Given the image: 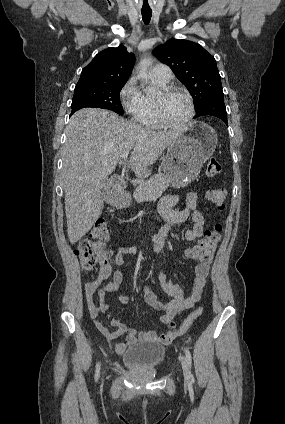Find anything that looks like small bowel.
<instances>
[{
  "mask_svg": "<svg viewBox=\"0 0 285 424\" xmlns=\"http://www.w3.org/2000/svg\"><path fill=\"white\" fill-rule=\"evenodd\" d=\"M199 196L196 192H191L186 198V205L181 210H175L174 206L178 203L179 198L177 195L165 196L159 205L161 215L168 221V225L162 232L149 240L154 253H159L161 249L168 243V234L175 225H179L188 219L191 220L192 225L184 233V238L187 241H196L204 236V217L203 214L197 210V203ZM190 248L186 251V255L192 257ZM137 252L134 246H122L118 249L114 257L115 264L120 267L124 263V256L133 255ZM194 259V258H193ZM197 260V259H196ZM110 267L101 266L98 276L87 282L84 287L85 300L88 308L89 315L94 321L96 328L103 335L108 345L118 354L123 355L128 346L136 344L137 342H157L160 344L168 345L177 336L181 335L174 317L181 313L183 310L194 306L201 298L203 289L210 270V260H198L195 267V277L192 284V289L189 295L185 296L181 287L168 279L165 273L160 272L159 281L161 287L168 298L167 303L161 302L156 294L146 286L144 288L145 302L155 310L163 311L161 322L167 326V330L158 334L155 330H147L137 332L134 328L129 327L126 323L117 318L111 319V325L115 327L114 331H109L108 328L99 320L101 313L108 311V305L105 302V295L107 292L117 291L122 283L123 274L118 268L113 275V281L103 284L108 276ZM97 296V301L94 297ZM121 303L126 304L129 302L128 296H119ZM125 335V342L114 343L118 337Z\"/></svg>",
  "mask_w": 285,
  "mask_h": 424,
  "instance_id": "1",
  "label": "small bowel"
}]
</instances>
